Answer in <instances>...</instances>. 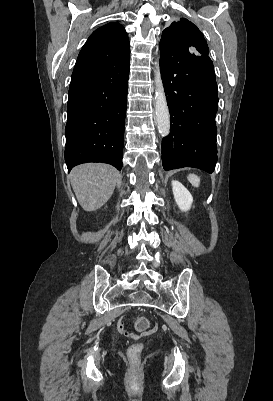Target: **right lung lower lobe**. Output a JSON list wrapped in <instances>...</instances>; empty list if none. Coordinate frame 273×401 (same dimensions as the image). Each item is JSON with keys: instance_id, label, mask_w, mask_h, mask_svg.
<instances>
[{"instance_id": "obj_1", "label": "right lung lower lobe", "mask_w": 273, "mask_h": 401, "mask_svg": "<svg viewBox=\"0 0 273 401\" xmlns=\"http://www.w3.org/2000/svg\"><path fill=\"white\" fill-rule=\"evenodd\" d=\"M129 61L70 87L65 128L68 171L86 162L109 163L121 170Z\"/></svg>"}]
</instances>
